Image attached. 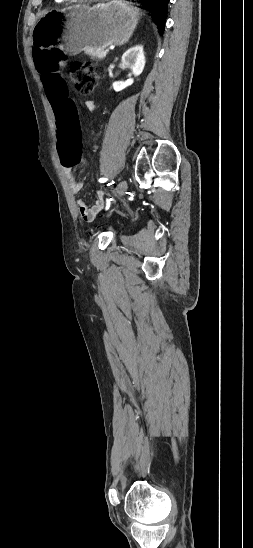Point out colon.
Masks as SVG:
<instances>
[{
    "label": "colon",
    "mask_w": 253,
    "mask_h": 548,
    "mask_svg": "<svg viewBox=\"0 0 253 548\" xmlns=\"http://www.w3.org/2000/svg\"><path fill=\"white\" fill-rule=\"evenodd\" d=\"M58 57L50 49H35L34 58L36 73L42 81L41 93L47 96V104L53 105L54 119L57 121L58 138L56 152L60 154L61 165L74 166L85 163L80 155L79 137L81 127L78 124L79 105L73 98L74 91L69 88L66 76L65 60H50ZM75 90L81 95L91 93L101 78L95 67L76 61L70 68Z\"/></svg>",
    "instance_id": "5ec220e1"
}]
</instances>
